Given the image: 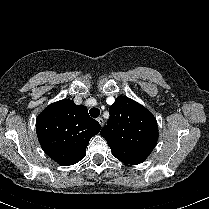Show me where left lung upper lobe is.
<instances>
[{"label": "left lung upper lobe", "mask_w": 209, "mask_h": 209, "mask_svg": "<svg viewBox=\"0 0 209 209\" xmlns=\"http://www.w3.org/2000/svg\"><path fill=\"white\" fill-rule=\"evenodd\" d=\"M108 124L100 132L113 155L123 163H142L158 139L156 118L141 104L121 96L109 108Z\"/></svg>", "instance_id": "1"}]
</instances>
